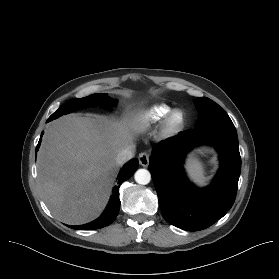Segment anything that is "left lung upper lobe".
Listing matches in <instances>:
<instances>
[{
  "instance_id": "5c2ea615",
  "label": "left lung upper lobe",
  "mask_w": 279,
  "mask_h": 279,
  "mask_svg": "<svg viewBox=\"0 0 279 279\" xmlns=\"http://www.w3.org/2000/svg\"><path fill=\"white\" fill-rule=\"evenodd\" d=\"M195 105L199 112L195 128L210 124H232L227 113L214 101L206 97H197Z\"/></svg>"
}]
</instances>
